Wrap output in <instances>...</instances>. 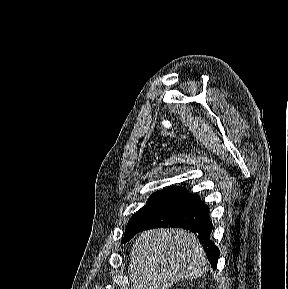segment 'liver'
Instances as JSON below:
<instances>
[{"mask_svg":"<svg viewBox=\"0 0 288 289\" xmlns=\"http://www.w3.org/2000/svg\"><path fill=\"white\" fill-rule=\"evenodd\" d=\"M206 253L197 237L186 230L158 228L141 233L130 252L131 289H169L183 279L208 270Z\"/></svg>","mask_w":288,"mask_h":289,"instance_id":"liver-1","label":"liver"}]
</instances>
